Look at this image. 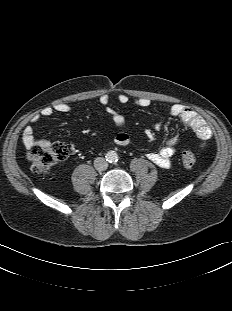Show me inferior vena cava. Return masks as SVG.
Instances as JSON below:
<instances>
[{
	"mask_svg": "<svg viewBox=\"0 0 232 311\" xmlns=\"http://www.w3.org/2000/svg\"><path fill=\"white\" fill-rule=\"evenodd\" d=\"M94 167L98 171H104L108 167V162L103 157H97L94 160Z\"/></svg>",
	"mask_w": 232,
	"mask_h": 311,
	"instance_id": "602c4592",
	"label": "inferior vena cava"
}]
</instances>
